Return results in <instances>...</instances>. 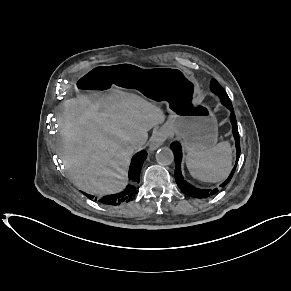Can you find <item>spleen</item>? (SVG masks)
Wrapping results in <instances>:
<instances>
[{
  "instance_id": "spleen-1",
  "label": "spleen",
  "mask_w": 291,
  "mask_h": 291,
  "mask_svg": "<svg viewBox=\"0 0 291 291\" xmlns=\"http://www.w3.org/2000/svg\"><path fill=\"white\" fill-rule=\"evenodd\" d=\"M186 165L190 174L204 182L224 180L232 168V148L227 141L203 151L188 152Z\"/></svg>"
}]
</instances>
